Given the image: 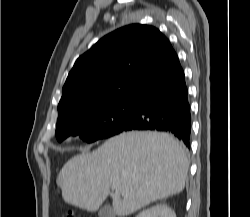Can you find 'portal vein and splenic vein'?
Segmentation results:
<instances>
[{
	"label": "portal vein and splenic vein",
	"mask_w": 250,
	"mask_h": 217,
	"mask_svg": "<svg viewBox=\"0 0 250 217\" xmlns=\"http://www.w3.org/2000/svg\"><path fill=\"white\" fill-rule=\"evenodd\" d=\"M111 189L114 190V187L112 186Z\"/></svg>",
	"instance_id": "portal-vein-and-splenic-vein-1"
}]
</instances>
